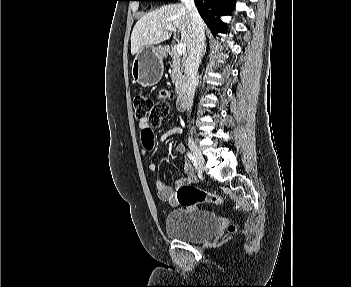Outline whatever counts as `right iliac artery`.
Masks as SVG:
<instances>
[{"label": "right iliac artery", "instance_id": "1", "mask_svg": "<svg viewBox=\"0 0 351 287\" xmlns=\"http://www.w3.org/2000/svg\"><path fill=\"white\" fill-rule=\"evenodd\" d=\"M187 156L190 159V161L192 162L193 166L195 167V170L198 171L199 168L197 166L196 159H195L194 155L190 152H187Z\"/></svg>", "mask_w": 351, "mask_h": 287}]
</instances>
